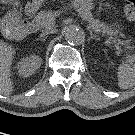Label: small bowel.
<instances>
[{
	"mask_svg": "<svg viewBox=\"0 0 135 135\" xmlns=\"http://www.w3.org/2000/svg\"><path fill=\"white\" fill-rule=\"evenodd\" d=\"M0 1H2L3 3L8 4V5H15V4H17L16 0H0Z\"/></svg>",
	"mask_w": 135,
	"mask_h": 135,
	"instance_id": "obj_1",
	"label": "small bowel"
}]
</instances>
